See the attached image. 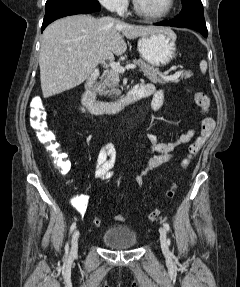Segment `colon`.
Segmentation results:
<instances>
[{"label": "colon", "instance_id": "obj_1", "mask_svg": "<svg viewBox=\"0 0 240 287\" xmlns=\"http://www.w3.org/2000/svg\"><path fill=\"white\" fill-rule=\"evenodd\" d=\"M194 100L196 105L201 109L203 114H208L211 106L210 98L207 93L202 91H197L194 94ZM30 126L35 131L37 139L47 146V149L51 152L54 159L56 167L62 171L66 172L70 168V164L66 157L61 154L55 143V136L53 132L48 128L46 123V110L45 106L40 98H34L30 104ZM215 127V121L211 117H205L201 123V129L199 136L196 140L189 146L186 157L181 163V167L185 169L191 162V160L197 155L201 150L209 136L211 135ZM176 186L172 185L169 189L167 195L168 197H173L175 193ZM160 216L159 210H153L148 214L149 221H156ZM115 219L119 222L125 221L123 215H117ZM92 223L94 226H100L102 220L98 217L93 218Z\"/></svg>", "mask_w": 240, "mask_h": 287}]
</instances>
